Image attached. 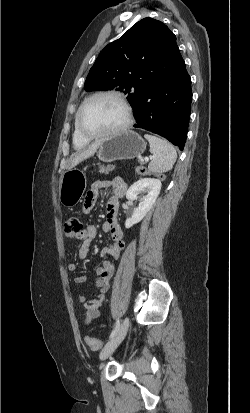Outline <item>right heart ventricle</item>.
Here are the masks:
<instances>
[{
    "mask_svg": "<svg viewBox=\"0 0 250 413\" xmlns=\"http://www.w3.org/2000/svg\"><path fill=\"white\" fill-rule=\"evenodd\" d=\"M77 113H78V110L75 114V119H74V130H73L72 141H73V145L75 148L81 149L85 147L89 143L90 140L83 138L78 132L77 125H76Z\"/></svg>",
    "mask_w": 250,
    "mask_h": 413,
    "instance_id": "right-heart-ventricle-1",
    "label": "right heart ventricle"
}]
</instances>
